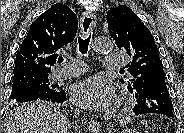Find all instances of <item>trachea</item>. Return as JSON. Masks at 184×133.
I'll list each match as a JSON object with an SVG mask.
<instances>
[{"label": "trachea", "instance_id": "trachea-1", "mask_svg": "<svg viewBox=\"0 0 184 133\" xmlns=\"http://www.w3.org/2000/svg\"><path fill=\"white\" fill-rule=\"evenodd\" d=\"M90 38H91V34L86 38H82V37L78 38V46H79V51H80L81 54H86L87 53L88 46H89V43H90ZM63 60H64L63 57H59L58 58V63H62Z\"/></svg>", "mask_w": 184, "mask_h": 133}]
</instances>
